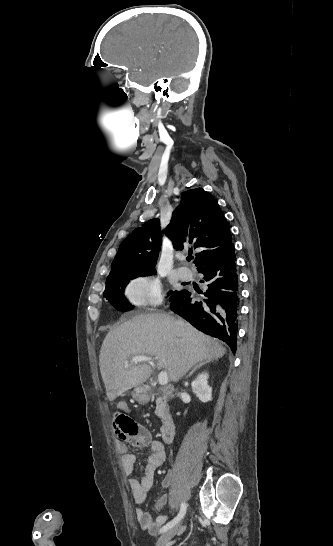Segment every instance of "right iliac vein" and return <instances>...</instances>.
Segmentation results:
<instances>
[{
	"label": "right iliac vein",
	"instance_id": "obj_1",
	"mask_svg": "<svg viewBox=\"0 0 333 546\" xmlns=\"http://www.w3.org/2000/svg\"><path fill=\"white\" fill-rule=\"evenodd\" d=\"M183 531L181 523L173 526L172 528L165 531L157 540L156 546H165V544L171 540L177 533Z\"/></svg>",
	"mask_w": 333,
	"mask_h": 546
}]
</instances>
